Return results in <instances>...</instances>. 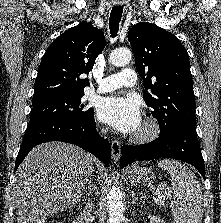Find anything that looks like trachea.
Wrapping results in <instances>:
<instances>
[{
    "label": "trachea",
    "instance_id": "obj_1",
    "mask_svg": "<svg viewBox=\"0 0 221 223\" xmlns=\"http://www.w3.org/2000/svg\"><path fill=\"white\" fill-rule=\"evenodd\" d=\"M122 13H123L122 6H114L111 10L110 19H109V29H110L111 37L113 38L117 36Z\"/></svg>",
    "mask_w": 221,
    "mask_h": 223
}]
</instances>
